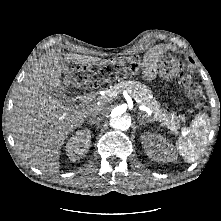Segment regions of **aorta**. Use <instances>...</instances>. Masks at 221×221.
I'll list each match as a JSON object with an SVG mask.
<instances>
[{
	"label": "aorta",
	"instance_id": "1",
	"mask_svg": "<svg viewBox=\"0 0 221 221\" xmlns=\"http://www.w3.org/2000/svg\"><path fill=\"white\" fill-rule=\"evenodd\" d=\"M110 125L116 130H127L131 126V117L122 107H117L111 112Z\"/></svg>",
	"mask_w": 221,
	"mask_h": 221
}]
</instances>
